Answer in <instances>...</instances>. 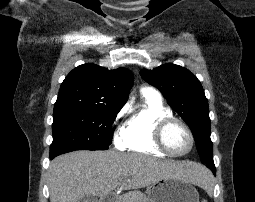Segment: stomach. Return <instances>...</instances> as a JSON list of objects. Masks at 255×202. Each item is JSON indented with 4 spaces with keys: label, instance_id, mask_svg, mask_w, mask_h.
Returning <instances> with one entry per match:
<instances>
[{
    "label": "stomach",
    "instance_id": "obj_1",
    "mask_svg": "<svg viewBox=\"0 0 255 202\" xmlns=\"http://www.w3.org/2000/svg\"><path fill=\"white\" fill-rule=\"evenodd\" d=\"M149 202H199L195 187L188 181L168 177L147 187Z\"/></svg>",
    "mask_w": 255,
    "mask_h": 202
}]
</instances>
